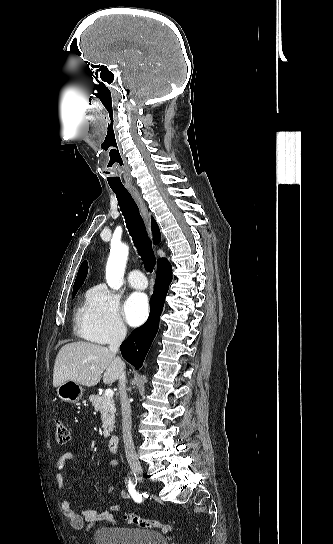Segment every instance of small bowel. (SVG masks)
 <instances>
[{
	"label": "small bowel",
	"instance_id": "c3829d8e",
	"mask_svg": "<svg viewBox=\"0 0 333 544\" xmlns=\"http://www.w3.org/2000/svg\"><path fill=\"white\" fill-rule=\"evenodd\" d=\"M73 455L70 452L61 454L57 461V475L56 480L58 487L62 495V510L65 517L69 520L71 526L74 529L80 530L84 528H90L101 521H107L110 523L116 522V513L120 511V504H111L104 511H97L93 509H84L81 506L74 505L69 500L65 490L64 470L66 465L71 462ZM119 465L118 460L111 459L108 462L110 468H117ZM116 488V484H112L108 488V493H112ZM120 497L124 500L131 498L130 493L125 490L120 491Z\"/></svg>",
	"mask_w": 333,
	"mask_h": 544
}]
</instances>
